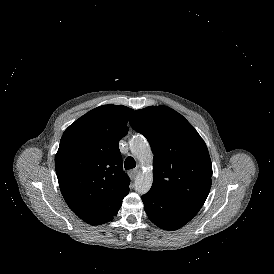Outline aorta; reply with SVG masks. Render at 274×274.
<instances>
[{
  "label": "aorta",
  "mask_w": 274,
  "mask_h": 274,
  "mask_svg": "<svg viewBox=\"0 0 274 274\" xmlns=\"http://www.w3.org/2000/svg\"><path fill=\"white\" fill-rule=\"evenodd\" d=\"M132 154L142 165L147 166V171L140 172L134 181V188L140 194H146L153 183V174L150 169L153 162V153L148 141L143 135H135L129 141Z\"/></svg>",
  "instance_id": "1"
}]
</instances>
